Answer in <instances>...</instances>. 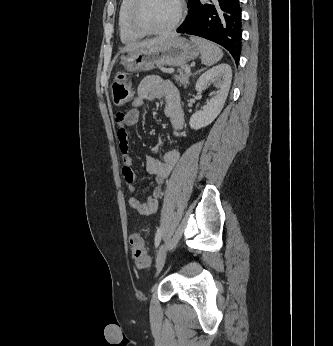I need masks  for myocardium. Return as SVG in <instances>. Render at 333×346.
<instances>
[{
  "mask_svg": "<svg viewBox=\"0 0 333 346\" xmlns=\"http://www.w3.org/2000/svg\"><path fill=\"white\" fill-rule=\"evenodd\" d=\"M146 0H134L130 12V25L138 33L142 35H162L174 30L182 21L185 12L184 0H176L177 12L174 20L170 25L161 29H151L141 20V10Z\"/></svg>",
  "mask_w": 333,
  "mask_h": 346,
  "instance_id": "myocardium-1",
  "label": "myocardium"
}]
</instances>
